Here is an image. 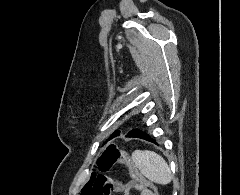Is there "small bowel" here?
Masks as SVG:
<instances>
[{"instance_id":"obj_1","label":"small bowel","mask_w":240,"mask_h":195,"mask_svg":"<svg viewBox=\"0 0 240 195\" xmlns=\"http://www.w3.org/2000/svg\"><path fill=\"white\" fill-rule=\"evenodd\" d=\"M146 188H150V186H139L138 182H133L131 179L128 182L124 183V192L122 194L131 195V192L133 190H136L140 195H148V193H146Z\"/></svg>"}]
</instances>
